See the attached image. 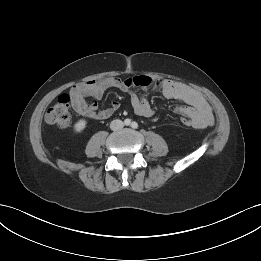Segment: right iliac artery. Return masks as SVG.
Instances as JSON below:
<instances>
[{
  "instance_id": "1",
  "label": "right iliac artery",
  "mask_w": 261,
  "mask_h": 261,
  "mask_svg": "<svg viewBox=\"0 0 261 261\" xmlns=\"http://www.w3.org/2000/svg\"><path fill=\"white\" fill-rule=\"evenodd\" d=\"M124 124L127 125V126L130 125L131 124V120L130 119H125Z\"/></svg>"
}]
</instances>
